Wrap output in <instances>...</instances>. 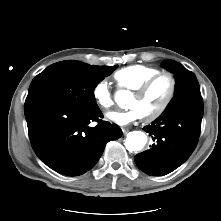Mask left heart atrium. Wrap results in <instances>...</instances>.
<instances>
[{"mask_svg": "<svg viewBox=\"0 0 221 221\" xmlns=\"http://www.w3.org/2000/svg\"><path fill=\"white\" fill-rule=\"evenodd\" d=\"M108 119L120 126H127L141 118L137 109L131 108L126 111H113L107 115Z\"/></svg>", "mask_w": 221, "mask_h": 221, "instance_id": "obj_1", "label": "left heart atrium"}]
</instances>
